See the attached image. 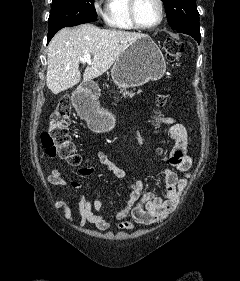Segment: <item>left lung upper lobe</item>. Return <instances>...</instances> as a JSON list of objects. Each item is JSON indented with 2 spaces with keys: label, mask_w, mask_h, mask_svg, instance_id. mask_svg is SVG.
I'll return each mask as SVG.
<instances>
[{
  "label": "left lung upper lobe",
  "mask_w": 240,
  "mask_h": 281,
  "mask_svg": "<svg viewBox=\"0 0 240 281\" xmlns=\"http://www.w3.org/2000/svg\"><path fill=\"white\" fill-rule=\"evenodd\" d=\"M167 20L174 30H199V13L195 0H162Z\"/></svg>",
  "instance_id": "obj_1"
}]
</instances>
